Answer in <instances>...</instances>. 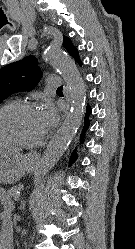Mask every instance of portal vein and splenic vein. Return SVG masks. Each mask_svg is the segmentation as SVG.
Returning <instances> with one entry per match:
<instances>
[{
    "label": "portal vein and splenic vein",
    "mask_w": 135,
    "mask_h": 249,
    "mask_svg": "<svg viewBox=\"0 0 135 249\" xmlns=\"http://www.w3.org/2000/svg\"><path fill=\"white\" fill-rule=\"evenodd\" d=\"M14 200L18 201L19 200V196L14 197Z\"/></svg>",
    "instance_id": "obj_1"
}]
</instances>
